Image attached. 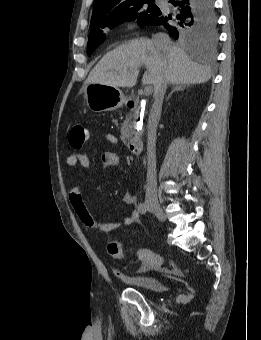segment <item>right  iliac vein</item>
I'll list each match as a JSON object with an SVG mask.
<instances>
[{
	"label": "right iliac vein",
	"mask_w": 261,
	"mask_h": 340,
	"mask_svg": "<svg viewBox=\"0 0 261 340\" xmlns=\"http://www.w3.org/2000/svg\"><path fill=\"white\" fill-rule=\"evenodd\" d=\"M148 209L152 212L160 221H165L166 216L160 205L154 200H147L146 202Z\"/></svg>",
	"instance_id": "63e3f726"
}]
</instances>
